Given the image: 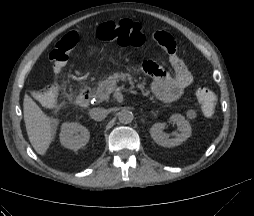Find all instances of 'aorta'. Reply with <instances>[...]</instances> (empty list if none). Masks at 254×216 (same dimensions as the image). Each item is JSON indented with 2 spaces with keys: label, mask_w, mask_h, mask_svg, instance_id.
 Returning a JSON list of instances; mask_svg holds the SVG:
<instances>
[{
  "label": "aorta",
  "mask_w": 254,
  "mask_h": 216,
  "mask_svg": "<svg viewBox=\"0 0 254 216\" xmlns=\"http://www.w3.org/2000/svg\"><path fill=\"white\" fill-rule=\"evenodd\" d=\"M134 115L128 109H123L118 113V119L120 123L129 124L133 121Z\"/></svg>",
  "instance_id": "1"
}]
</instances>
